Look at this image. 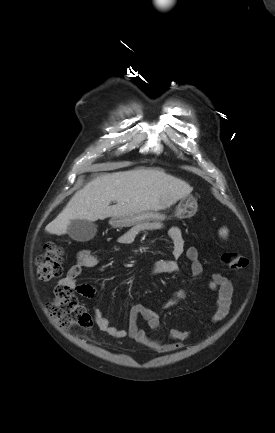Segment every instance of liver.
<instances>
[{
    "label": "liver",
    "instance_id": "obj_1",
    "mask_svg": "<svg viewBox=\"0 0 275 433\" xmlns=\"http://www.w3.org/2000/svg\"><path fill=\"white\" fill-rule=\"evenodd\" d=\"M193 188L158 169H134L96 177L77 191L63 211L45 230L63 235L72 220L94 222L108 217L158 210L162 205L188 196ZM114 201L115 205L110 206Z\"/></svg>",
    "mask_w": 275,
    "mask_h": 433
}]
</instances>
